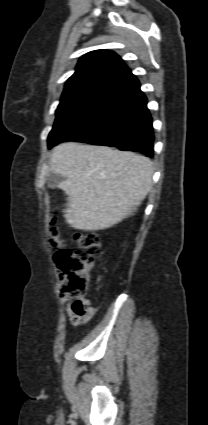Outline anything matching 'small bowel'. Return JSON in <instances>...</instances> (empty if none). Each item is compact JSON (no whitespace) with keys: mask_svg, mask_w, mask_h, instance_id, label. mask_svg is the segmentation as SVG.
Returning a JSON list of instances; mask_svg holds the SVG:
<instances>
[{"mask_svg":"<svg viewBox=\"0 0 208 425\" xmlns=\"http://www.w3.org/2000/svg\"><path fill=\"white\" fill-rule=\"evenodd\" d=\"M61 302L66 305V312L73 326L86 324L93 318L97 310L90 305L89 301L88 305L82 309H78L76 302H72L71 299L64 296L61 297Z\"/></svg>","mask_w":208,"mask_h":425,"instance_id":"1","label":"small bowel"}]
</instances>
